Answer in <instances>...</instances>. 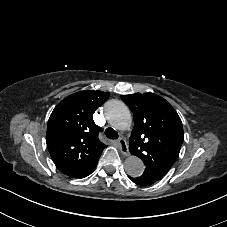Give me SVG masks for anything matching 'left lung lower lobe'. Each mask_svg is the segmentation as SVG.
<instances>
[{
	"mask_svg": "<svg viewBox=\"0 0 227 227\" xmlns=\"http://www.w3.org/2000/svg\"><path fill=\"white\" fill-rule=\"evenodd\" d=\"M128 177L134 183H136L138 185H144V186L151 185L154 182L162 179V177H160L154 173L147 172V171H144V173L140 177H137V178H133L131 176H128Z\"/></svg>",
	"mask_w": 227,
	"mask_h": 227,
	"instance_id": "1",
	"label": "left lung lower lobe"
}]
</instances>
